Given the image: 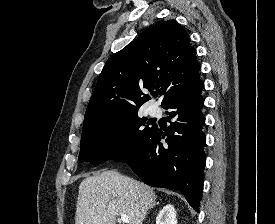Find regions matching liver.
<instances>
[{"mask_svg": "<svg viewBox=\"0 0 275 224\" xmlns=\"http://www.w3.org/2000/svg\"><path fill=\"white\" fill-rule=\"evenodd\" d=\"M156 195L152 188L116 171H103L79 185L75 224H116L127 215L129 224H142Z\"/></svg>", "mask_w": 275, "mask_h": 224, "instance_id": "liver-1", "label": "liver"}]
</instances>
